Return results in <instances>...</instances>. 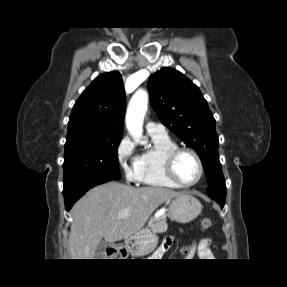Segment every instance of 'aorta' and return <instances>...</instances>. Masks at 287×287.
I'll return each instance as SVG.
<instances>
[{
	"instance_id": "obj_1",
	"label": "aorta",
	"mask_w": 287,
	"mask_h": 287,
	"mask_svg": "<svg viewBox=\"0 0 287 287\" xmlns=\"http://www.w3.org/2000/svg\"><path fill=\"white\" fill-rule=\"evenodd\" d=\"M148 107V94L144 90H138L131 98L127 113L126 127L130 135L137 142L140 141L143 134V121Z\"/></svg>"
}]
</instances>
